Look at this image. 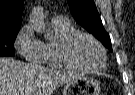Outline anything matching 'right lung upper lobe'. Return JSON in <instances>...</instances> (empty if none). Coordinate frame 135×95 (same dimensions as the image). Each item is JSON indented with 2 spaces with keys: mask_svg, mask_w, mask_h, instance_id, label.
<instances>
[{
  "mask_svg": "<svg viewBox=\"0 0 135 95\" xmlns=\"http://www.w3.org/2000/svg\"><path fill=\"white\" fill-rule=\"evenodd\" d=\"M24 0H0V34L19 31Z\"/></svg>",
  "mask_w": 135,
  "mask_h": 95,
  "instance_id": "obj_1",
  "label": "right lung upper lobe"
}]
</instances>
